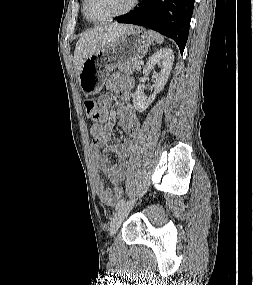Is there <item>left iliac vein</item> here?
I'll use <instances>...</instances> for the list:
<instances>
[{
    "label": "left iliac vein",
    "instance_id": "4c4485c4",
    "mask_svg": "<svg viewBox=\"0 0 253 285\" xmlns=\"http://www.w3.org/2000/svg\"><path fill=\"white\" fill-rule=\"evenodd\" d=\"M132 206H133V201L127 202L123 206H121L114 214L110 223L111 235H114L118 231L119 227L121 226V223L128 216L130 210L132 209Z\"/></svg>",
    "mask_w": 253,
    "mask_h": 285
}]
</instances>
